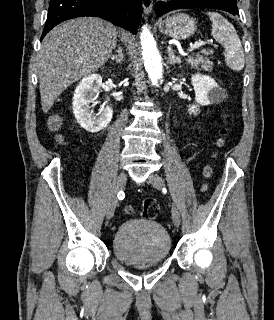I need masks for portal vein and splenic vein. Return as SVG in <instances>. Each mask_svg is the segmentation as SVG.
<instances>
[{
    "label": "portal vein and splenic vein",
    "mask_w": 274,
    "mask_h": 320,
    "mask_svg": "<svg viewBox=\"0 0 274 320\" xmlns=\"http://www.w3.org/2000/svg\"><path fill=\"white\" fill-rule=\"evenodd\" d=\"M202 46V44H201ZM189 52H192V50H189ZM182 56H186V52H183Z\"/></svg>",
    "instance_id": "portal-vein-and-splenic-vein-1"
}]
</instances>
